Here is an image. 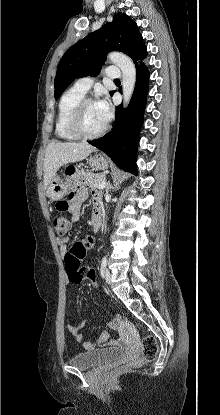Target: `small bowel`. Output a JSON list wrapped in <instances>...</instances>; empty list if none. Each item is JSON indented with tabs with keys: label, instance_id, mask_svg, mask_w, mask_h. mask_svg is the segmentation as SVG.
Returning a JSON list of instances; mask_svg holds the SVG:
<instances>
[{
	"label": "small bowel",
	"instance_id": "c3829d8e",
	"mask_svg": "<svg viewBox=\"0 0 220 415\" xmlns=\"http://www.w3.org/2000/svg\"><path fill=\"white\" fill-rule=\"evenodd\" d=\"M87 197L86 189L82 187H78L74 192L69 195L68 200V207L63 209L62 211H68L71 215L72 222H75L80 217V210L82 205ZM98 212H102L101 206V197L99 192H93V218ZM85 243L88 247H92L95 243V239L93 236L89 235L84 239ZM58 245L62 254L67 252V245H68V238L67 237H59L58 238ZM94 284L97 285V277L94 272ZM82 328V324L73 325L70 324L67 326V330L73 334L77 340V342L81 343L86 350H94L96 348H103V347H111L116 346L119 344L117 340H110L109 333L107 331H103L96 342H88L85 340L84 335L80 332Z\"/></svg>",
	"mask_w": 220,
	"mask_h": 415
}]
</instances>
